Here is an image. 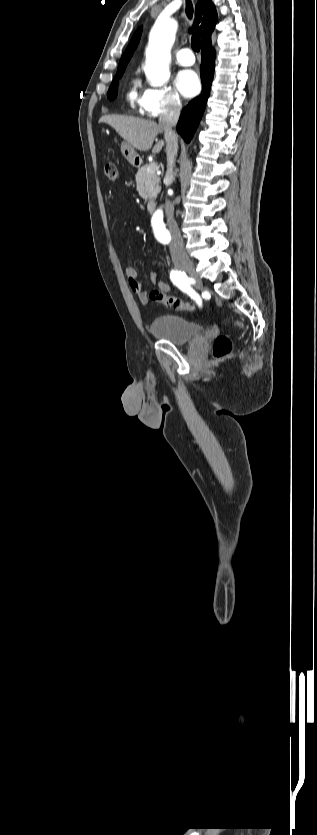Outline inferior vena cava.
<instances>
[{
  "label": "inferior vena cava",
  "instance_id": "obj_1",
  "mask_svg": "<svg viewBox=\"0 0 317 835\" xmlns=\"http://www.w3.org/2000/svg\"><path fill=\"white\" fill-rule=\"evenodd\" d=\"M181 109L182 104L180 103V101L174 100L166 108L165 112L162 113L159 118V125L164 131V138L166 141L167 172L165 177L167 186H170L174 180L173 167L175 166V157L177 156L178 152V139L176 133L173 131L172 128L176 126L179 120ZM165 213L167 217V224L172 238L170 243V253L172 260H175L180 257H184L185 252L183 239L181 237L180 230L173 216L174 204L171 203L169 200H166L165 203Z\"/></svg>",
  "mask_w": 317,
  "mask_h": 835
}]
</instances>
